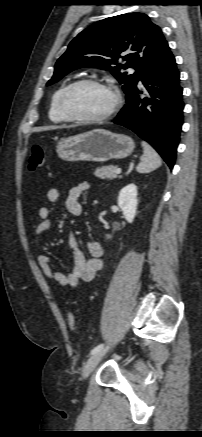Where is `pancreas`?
<instances>
[{
  "label": "pancreas",
  "mask_w": 202,
  "mask_h": 437,
  "mask_svg": "<svg viewBox=\"0 0 202 437\" xmlns=\"http://www.w3.org/2000/svg\"><path fill=\"white\" fill-rule=\"evenodd\" d=\"M117 167L116 166H102L99 168H96L95 170V176L99 177L101 179H110L113 180L117 177V174L115 173Z\"/></svg>",
  "instance_id": "pancreas-1"
}]
</instances>
